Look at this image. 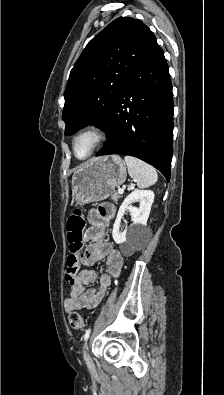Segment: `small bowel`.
Instances as JSON below:
<instances>
[{
  "label": "small bowel",
  "mask_w": 224,
  "mask_h": 395,
  "mask_svg": "<svg viewBox=\"0 0 224 395\" xmlns=\"http://www.w3.org/2000/svg\"><path fill=\"white\" fill-rule=\"evenodd\" d=\"M115 214L116 208L110 204L89 211L90 227L85 232V239L89 243L83 262L88 267H93L101 260H105L107 272L99 276L100 287L97 290L86 289V286L95 282L96 271L87 268L79 272L71 283L69 296L64 301V307L68 313L83 308H96L111 285L112 277H118L121 272L124 263L123 254L104 239L109 222Z\"/></svg>",
  "instance_id": "c3829d8e"
}]
</instances>
